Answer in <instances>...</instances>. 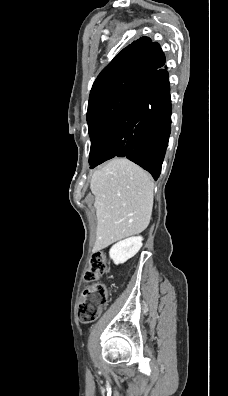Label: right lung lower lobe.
<instances>
[{
    "mask_svg": "<svg viewBox=\"0 0 228 396\" xmlns=\"http://www.w3.org/2000/svg\"><path fill=\"white\" fill-rule=\"evenodd\" d=\"M159 48L143 62L145 75L113 122L90 168L126 157L158 179L171 132V99Z\"/></svg>",
    "mask_w": 228,
    "mask_h": 396,
    "instance_id": "1",
    "label": "right lung lower lobe"
}]
</instances>
